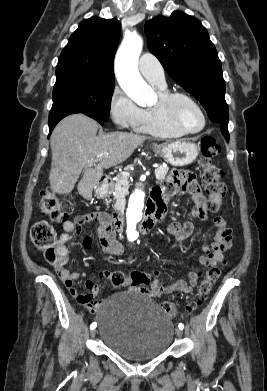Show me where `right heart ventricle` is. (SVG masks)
<instances>
[{
  "label": "right heart ventricle",
  "mask_w": 267,
  "mask_h": 391,
  "mask_svg": "<svg viewBox=\"0 0 267 391\" xmlns=\"http://www.w3.org/2000/svg\"><path fill=\"white\" fill-rule=\"evenodd\" d=\"M157 90L160 97L168 93L166 87L157 88ZM134 129L137 132L160 138H178L184 135L161 116L156 106L143 109L142 118Z\"/></svg>",
  "instance_id": "right-heart-ventricle-1"
}]
</instances>
